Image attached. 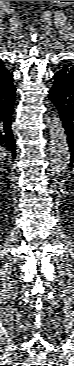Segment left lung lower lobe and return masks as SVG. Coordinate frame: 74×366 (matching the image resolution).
<instances>
[{
	"mask_svg": "<svg viewBox=\"0 0 74 366\" xmlns=\"http://www.w3.org/2000/svg\"><path fill=\"white\" fill-rule=\"evenodd\" d=\"M49 91L52 103L58 109L68 146L71 152L70 166H74V60H69L54 76Z\"/></svg>",
	"mask_w": 74,
	"mask_h": 366,
	"instance_id": "obj_1",
	"label": "left lung lower lobe"
}]
</instances>
